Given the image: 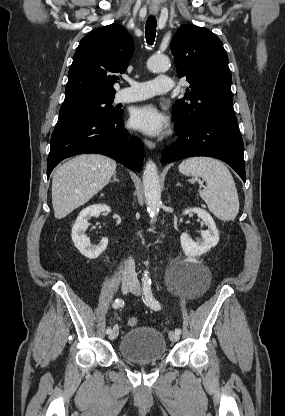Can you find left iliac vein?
Returning <instances> with one entry per match:
<instances>
[{
    "mask_svg": "<svg viewBox=\"0 0 285 416\" xmlns=\"http://www.w3.org/2000/svg\"><path fill=\"white\" fill-rule=\"evenodd\" d=\"M130 292L140 295V284L138 281H135L134 285L130 288ZM169 338L171 341L176 342L179 340V334L174 333L173 331L169 332Z\"/></svg>",
    "mask_w": 285,
    "mask_h": 416,
    "instance_id": "obj_1",
    "label": "left iliac vein"
}]
</instances>
